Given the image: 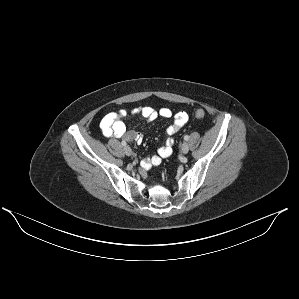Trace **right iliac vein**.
<instances>
[{
  "label": "right iliac vein",
  "instance_id": "obj_1",
  "mask_svg": "<svg viewBox=\"0 0 299 299\" xmlns=\"http://www.w3.org/2000/svg\"><path fill=\"white\" fill-rule=\"evenodd\" d=\"M124 151H125V154H126L127 156H131V155H132V150H131L130 147L125 146Z\"/></svg>",
  "mask_w": 299,
  "mask_h": 299
}]
</instances>
